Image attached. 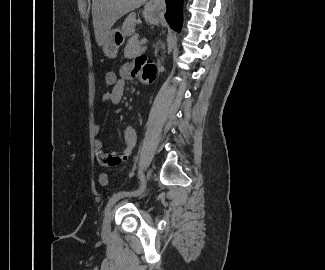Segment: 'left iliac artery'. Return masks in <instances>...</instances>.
I'll use <instances>...</instances> for the list:
<instances>
[{"mask_svg": "<svg viewBox=\"0 0 325 270\" xmlns=\"http://www.w3.org/2000/svg\"><path fill=\"white\" fill-rule=\"evenodd\" d=\"M139 176H140V182H141L139 189L134 190V191H120V192L113 194V196L109 199V201L107 203V206L105 208V213L120 198L125 197V196H136L143 192V190L145 188V177H144V174L142 173V171H140Z\"/></svg>", "mask_w": 325, "mask_h": 270, "instance_id": "obj_1", "label": "left iliac artery"}]
</instances>
